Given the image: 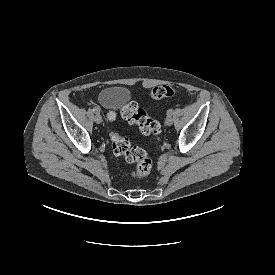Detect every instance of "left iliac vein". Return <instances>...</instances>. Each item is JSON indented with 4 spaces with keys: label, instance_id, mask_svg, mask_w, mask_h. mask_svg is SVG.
<instances>
[{
    "label": "left iliac vein",
    "instance_id": "left-iliac-vein-1",
    "mask_svg": "<svg viewBox=\"0 0 275 275\" xmlns=\"http://www.w3.org/2000/svg\"><path fill=\"white\" fill-rule=\"evenodd\" d=\"M166 125L170 126L173 124V118L171 116H168L165 120Z\"/></svg>",
    "mask_w": 275,
    "mask_h": 275
}]
</instances>
